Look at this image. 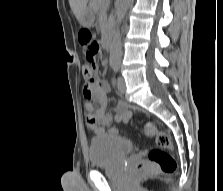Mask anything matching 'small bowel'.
<instances>
[{"mask_svg": "<svg viewBox=\"0 0 223 191\" xmlns=\"http://www.w3.org/2000/svg\"><path fill=\"white\" fill-rule=\"evenodd\" d=\"M108 92L109 84L100 79H95L91 84L86 83L83 88V95L87 99V125L95 134L104 133L105 127L113 123H126L131 117V111L123 102L115 105L114 116L106 111Z\"/></svg>", "mask_w": 223, "mask_h": 191, "instance_id": "c3829d8e", "label": "small bowel"}]
</instances>
